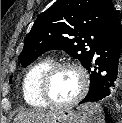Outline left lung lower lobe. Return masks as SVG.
I'll list each match as a JSON object with an SVG mask.
<instances>
[{"label":"left lung lower lobe","instance_id":"1","mask_svg":"<svg viewBox=\"0 0 122 123\" xmlns=\"http://www.w3.org/2000/svg\"><path fill=\"white\" fill-rule=\"evenodd\" d=\"M98 55L92 67L94 54ZM90 73V88L87 96L80 102L110 100L117 96L122 79V26L116 16L103 32L94 47L92 58L85 67Z\"/></svg>","mask_w":122,"mask_h":123}]
</instances>
